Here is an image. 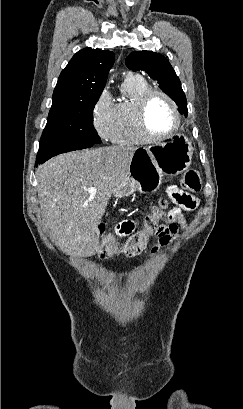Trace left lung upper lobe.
Returning a JSON list of instances; mask_svg holds the SVG:
<instances>
[{"instance_id": "1", "label": "left lung upper lobe", "mask_w": 243, "mask_h": 409, "mask_svg": "<svg viewBox=\"0 0 243 409\" xmlns=\"http://www.w3.org/2000/svg\"><path fill=\"white\" fill-rule=\"evenodd\" d=\"M126 65L134 71H146L152 79L158 82L163 92L175 101L181 114L187 116V100L180 80L163 55L153 51H136L126 58Z\"/></svg>"}]
</instances>
